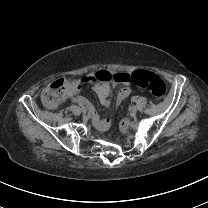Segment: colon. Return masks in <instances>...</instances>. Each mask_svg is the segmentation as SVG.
<instances>
[{"mask_svg":"<svg viewBox=\"0 0 208 208\" xmlns=\"http://www.w3.org/2000/svg\"><path fill=\"white\" fill-rule=\"evenodd\" d=\"M127 79H119L112 72L101 70L96 72L88 85L98 82L122 83ZM132 81L135 85L147 89L152 97L162 99L166 92V84L158 75L147 71H136L132 74ZM84 89V82L77 77H65L55 80L45 86L42 92L43 102L49 108H54L62 102L69 101L74 93H80ZM119 127L123 131H128L132 127V122L128 118H123L119 122Z\"/></svg>","mask_w":208,"mask_h":208,"instance_id":"1","label":"colon"}]
</instances>
